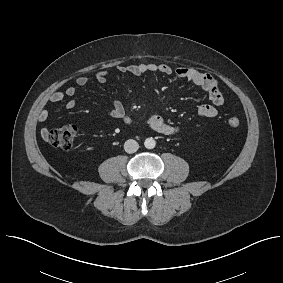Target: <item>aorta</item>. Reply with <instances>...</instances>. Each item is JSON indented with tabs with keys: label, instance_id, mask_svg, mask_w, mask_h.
<instances>
[{
	"label": "aorta",
	"instance_id": "obj_1",
	"mask_svg": "<svg viewBox=\"0 0 283 283\" xmlns=\"http://www.w3.org/2000/svg\"><path fill=\"white\" fill-rule=\"evenodd\" d=\"M156 145V141L153 138H147L144 142V146L147 149H153Z\"/></svg>",
	"mask_w": 283,
	"mask_h": 283
}]
</instances>
